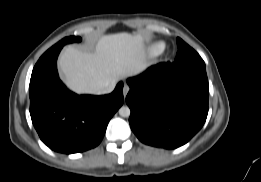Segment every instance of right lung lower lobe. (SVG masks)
<instances>
[{
    "instance_id": "obj_1",
    "label": "right lung lower lobe",
    "mask_w": 261,
    "mask_h": 182,
    "mask_svg": "<svg viewBox=\"0 0 261 182\" xmlns=\"http://www.w3.org/2000/svg\"><path fill=\"white\" fill-rule=\"evenodd\" d=\"M62 45L47 50L30 80V115L41 140L52 150L71 154L96 147L108 122L123 104V83L108 95H77L60 81L57 57Z\"/></svg>"
}]
</instances>
